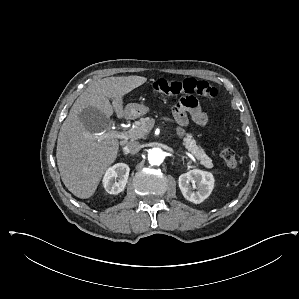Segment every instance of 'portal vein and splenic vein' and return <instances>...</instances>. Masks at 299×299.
Returning a JSON list of instances; mask_svg holds the SVG:
<instances>
[{
	"label": "portal vein and splenic vein",
	"instance_id": "portal-vein-and-splenic-vein-1",
	"mask_svg": "<svg viewBox=\"0 0 299 299\" xmlns=\"http://www.w3.org/2000/svg\"><path fill=\"white\" fill-rule=\"evenodd\" d=\"M132 134H133L132 129L129 131H124V132L111 130L108 132L94 133V134L89 135V137H94L100 141V140L107 139V138L127 139V138H131Z\"/></svg>",
	"mask_w": 299,
	"mask_h": 299
}]
</instances>
